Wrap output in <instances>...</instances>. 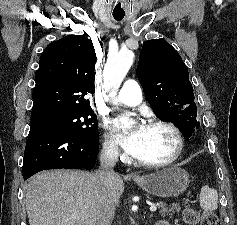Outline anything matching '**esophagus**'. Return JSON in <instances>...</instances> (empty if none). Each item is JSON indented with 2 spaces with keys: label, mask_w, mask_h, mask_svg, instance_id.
<instances>
[{
  "label": "esophagus",
  "mask_w": 237,
  "mask_h": 225,
  "mask_svg": "<svg viewBox=\"0 0 237 225\" xmlns=\"http://www.w3.org/2000/svg\"><path fill=\"white\" fill-rule=\"evenodd\" d=\"M131 176L136 177L137 174L136 173H131Z\"/></svg>",
  "instance_id": "34e87169"
}]
</instances>
